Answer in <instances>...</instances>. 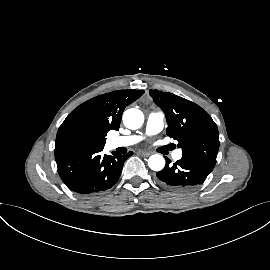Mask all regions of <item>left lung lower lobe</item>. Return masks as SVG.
<instances>
[{"label": "left lung lower lobe", "instance_id": "left-lung-lower-lobe-1", "mask_svg": "<svg viewBox=\"0 0 270 270\" xmlns=\"http://www.w3.org/2000/svg\"><path fill=\"white\" fill-rule=\"evenodd\" d=\"M165 159L166 166L157 173V178L162 185L177 192L189 191L202 184L214 168L192 157L182 156L173 165Z\"/></svg>", "mask_w": 270, "mask_h": 270}]
</instances>
